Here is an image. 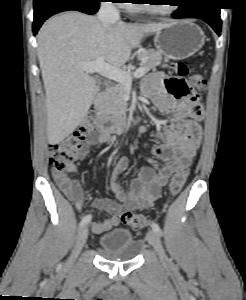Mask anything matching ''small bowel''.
<instances>
[{"mask_svg": "<svg viewBox=\"0 0 246 300\" xmlns=\"http://www.w3.org/2000/svg\"><path fill=\"white\" fill-rule=\"evenodd\" d=\"M142 91L145 96L154 100L161 112L168 115L162 128L153 133L160 141L142 143L144 149L159 158L163 164L158 171L150 167L142 168L137 177L130 182L129 190L125 192L119 178L127 168L128 160L121 158L116 163L112 171L111 188L119 203L106 198L96 199L93 202V208L110 215L108 219L92 224V230L96 234H103L118 225L125 211L151 208L173 172L180 166L191 163L201 143L200 117H194L190 113L193 100L187 92V82L156 72L143 81ZM171 123H175L177 129H171L169 127ZM139 131L145 133L147 128L141 126ZM110 138L109 134L101 133L90 141V146H100L109 142ZM86 154L87 150H84L79 158H84ZM53 176L76 209H81L84 197L79 182L67 173L53 171Z\"/></svg>", "mask_w": 246, "mask_h": 300, "instance_id": "c3829d8e", "label": "small bowel"}]
</instances>
